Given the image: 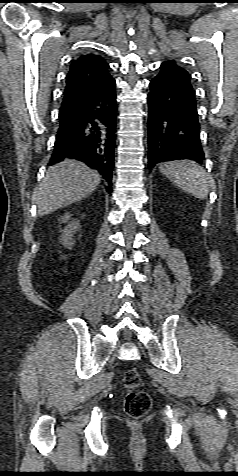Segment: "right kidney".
I'll return each mask as SVG.
<instances>
[{"mask_svg":"<svg viewBox=\"0 0 238 476\" xmlns=\"http://www.w3.org/2000/svg\"><path fill=\"white\" fill-rule=\"evenodd\" d=\"M71 215L69 213L65 214L64 216L61 217L60 221L61 223H68L70 220ZM80 228L79 221L75 220L72 222H69L68 225L66 226L65 229L61 230L62 235H61V243L65 246L70 248L73 245V235L75 231H77Z\"/></svg>","mask_w":238,"mask_h":476,"instance_id":"right-kidney-1","label":"right kidney"}]
</instances>
